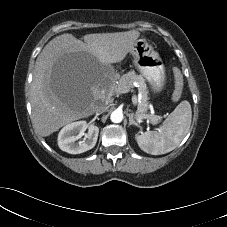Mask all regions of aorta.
I'll list each match as a JSON object with an SVG mask.
<instances>
[{
  "label": "aorta",
  "mask_w": 227,
  "mask_h": 227,
  "mask_svg": "<svg viewBox=\"0 0 227 227\" xmlns=\"http://www.w3.org/2000/svg\"><path fill=\"white\" fill-rule=\"evenodd\" d=\"M110 119L113 123H120L123 120V112L119 109L114 110L111 113Z\"/></svg>",
  "instance_id": "aorta-1"
}]
</instances>
